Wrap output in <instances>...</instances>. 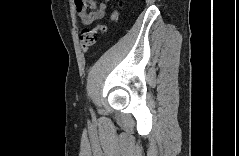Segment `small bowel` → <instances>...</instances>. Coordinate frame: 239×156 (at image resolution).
Listing matches in <instances>:
<instances>
[{
	"mask_svg": "<svg viewBox=\"0 0 239 156\" xmlns=\"http://www.w3.org/2000/svg\"><path fill=\"white\" fill-rule=\"evenodd\" d=\"M75 7L80 21L84 25H91L105 17L106 2L96 3L92 0H75Z\"/></svg>",
	"mask_w": 239,
	"mask_h": 156,
	"instance_id": "obj_1",
	"label": "small bowel"
}]
</instances>
